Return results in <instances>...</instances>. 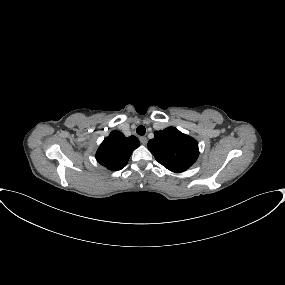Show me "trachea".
<instances>
[{"label": "trachea", "mask_w": 285, "mask_h": 285, "mask_svg": "<svg viewBox=\"0 0 285 285\" xmlns=\"http://www.w3.org/2000/svg\"><path fill=\"white\" fill-rule=\"evenodd\" d=\"M136 132L138 135H144L146 133V128L143 125L137 127Z\"/></svg>", "instance_id": "obj_1"}]
</instances>
